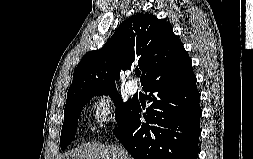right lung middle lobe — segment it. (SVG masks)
<instances>
[{
    "instance_id": "obj_1",
    "label": "right lung middle lobe",
    "mask_w": 253,
    "mask_h": 159,
    "mask_svg": "<svg viewBox=\"0 0 253 159\" xmlns=\"http://www.w3.org/2000/svg\"><path fill=\"white\" fill-rule=\"evenodd\" d=\"M102 94L109 95L114 100V104L116 106L115 118L118 125L122 124L126 118V115L131 110L134 102L127 101L124 103L116 90L95 95L99 96ZM92 96L94 95L80 97L66 104L64 109V122L60 137V145L62 150L65 149L74 139L77 130L78 118L80 117L82 108L85 103H87L92 98Z\"/></svg>"
}]
</instances>
